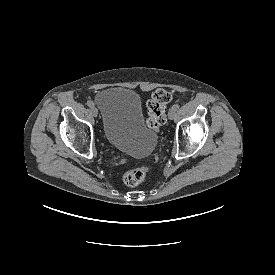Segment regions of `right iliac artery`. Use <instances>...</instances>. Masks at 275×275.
Listing matches in <instances>:
<instances>
[{"label":"right iliac artery","instance_id":"82829eb1","mask_svg":"<svg viewBox=\"0 0 275 275\" xmlns=\"http://www.w3.org/2000/svg\"><path fill=\"white\" fill-rule=\"evenodd\" d=\"M87 105H88L89 107H93V106H94V103H93V101L89 100V101H87Z\"/></svg>","mask_w":275,"mask_h":275}]
</instances>
